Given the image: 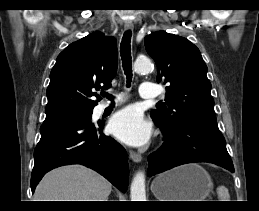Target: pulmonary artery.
<instances>
[{"instance_id": "1", "label": "pulmonary artery", "mask_w": 259, "mask_h": 211, "mask_svg": "<svg viewBox=\"0 0 259 211\" xmlns=\"http://www.w3.org/2000/svg\"><path fill=\"white\" fill-rule=\"evenodd\" d=\"M159 95V92L157 90V87L149 82H143L140 86V96L142 98L145 99H155L157 98ZM125 101V98L120 95V94H116L114 97L113 102H105V103H101L98 106V111H103L104 109L110 107L111 105H116L119 104L121 102Z\"/></svg>"}]
</instances>
